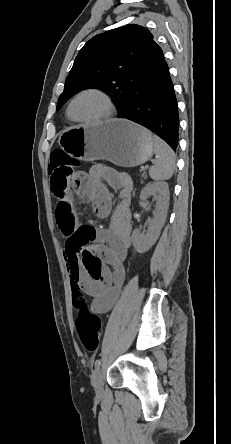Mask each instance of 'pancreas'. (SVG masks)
I'll use <instances>...</instances> for the list:
<instances>
[{
    "label": "pancreas",
    "mask_w": 231,
    "mask_h": 444,
    "mask_svg": "<svg viewBox=\"0 0 231 444\" xmlns=\"http://www.w3.org/2000/svg\"><path fill=\"white\" fill-rule=\"evenodd\" d=\"M142 177H143V178H147L146 173H143V174H142Z\"/></svg>",
    "instance_id": "cf45deb5"
}]
</instances>
